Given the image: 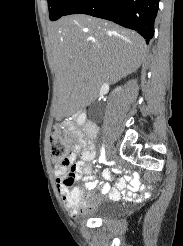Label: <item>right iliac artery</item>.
I'll use <instances>...</instances> for the list:
<instances>
[{
    "label": "right iliac artery",
    "instance_id": "1",
    "mask_svg": "<svg viewBox=\"0 0 183 246\" xmlns=\"http://www.w3.org/2000/svg\"><path fill=\"white\" fill-rule=\"evenodd\" d=\"M103 162H105V149H104V147H102L101 154L99 157V163H103Z\"/></svg>",
    "mask_w": 183,
    "mask_h": 246
}]
</instances>
